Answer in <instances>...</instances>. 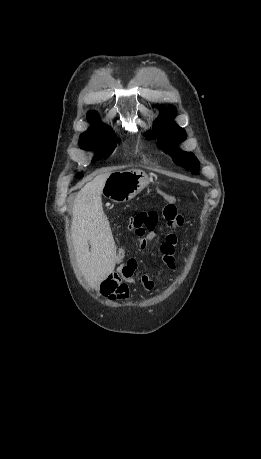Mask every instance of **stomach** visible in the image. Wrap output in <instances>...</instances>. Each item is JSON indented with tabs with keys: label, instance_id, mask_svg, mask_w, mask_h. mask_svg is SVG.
Listing matches in <instances>:
<instances>
[{
	"label": "stomach",
	"instance_id": "1",
	"mask_svg": "<svg viewBox=\"0 0 261 459\" xmlns=\"http://www.w3.org/2000/svg\"><path fill=\"white\" fill-rule=\"evenodd\" d=\"M151 182L148 175L139 169L112 172L103 187V194L117 203L133 199Z\"/></svg>",
	"mask_w": 261,
	"mask_h": 459
}]
</instances>
